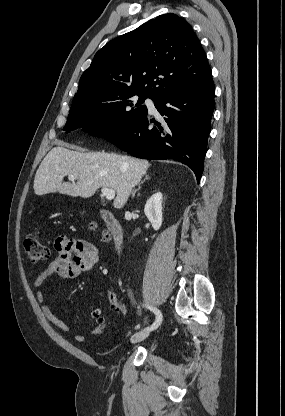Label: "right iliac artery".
Masks as SVG:
<instances>
[{"label":"right iliac artery","mask_w":285,"mask_h":416,"mask_svg":"<svg viewBox=\"0 0 285 416\" xmlns=\"http://www.w3.org/2000/svg\"><path fill=\"white\" fill-rule=\"evenodd\" d=\"M147 309H149L150 311L154 312V314L156 315V320L155 322L151 325L150 329L154 330L156 329L162 322V314L160 312L159 309H157L156 307L153 306H145Z\"/></svg>","instance_id":"82829eb1"}]
</instances>
